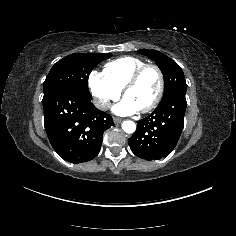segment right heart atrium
I'll return each instance as SVG.
<instances>
[{
	"instance_id": "right-heart-atrium-1",
	"label": "right heart atrium",
	"mask_w": 236,
	"mask_h": 236,
	"mask_svg": "<svg viewBox=\"0 0 236 236\" xmlns=\"http://www.w3.org/2000/svg\"><path fill=\"white\" fill-rule=\"evenodd\" d=\"M88 86L95 105L101 110H106L110 103L116 101L121 95V92L113 87L103 73L96 70L90 73Z\"/></svg>"
}]
</instances>
